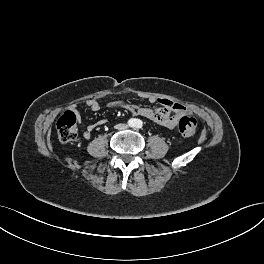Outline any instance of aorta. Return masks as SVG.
<instances>
[{
	"label": "aorta",
	"mask_w": 264,
	"mask_h": 264,
	"mask_svg": "<svg viewBox=\"0 0 264 264\" xmlns=\"http://www.w3.org/2000/svg\"><path fill=\"white\" fill-rule=\"evenodd\" d=\"M132 126L133 127H140V126H142V121L139 119H133L132 120Z\"/></svg>",
	"instance_id": "762f6f07"
}]
</instances>
